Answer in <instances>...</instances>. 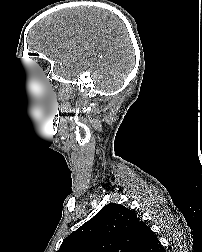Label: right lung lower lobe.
<instances>
[{"instance_id": "right-lung-lower-lobe-1", "label": "right lung lower lobe", "mask_w": 202, "mask_h": 252, "mask_svg": "<svg viewBox=\"0 0 202 252\" xmlns=\"http://www.w3.org/2000/svg\"><path fill=\"white\" fill-rule=\"evenodd\" d=\"M162 252H165L164 248H163Z\"/></svg>"}]
</instances>
